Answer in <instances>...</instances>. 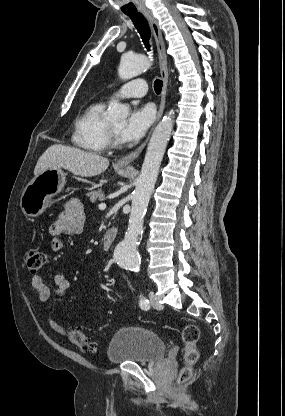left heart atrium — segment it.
Wrapping results in <instances>:
<instances>
[{
  "instance_id": "left-heart-atrium-1",
  "label": "left heart atrium",
  "mask_w": 285,
  "mask_h": 416,
  "mask_svg": "<svg viewBox=\"0 0 285 416\" xmlns=\"http://www.w3.org/2000/svg\"><path fill=\"white\" fill-rule=\"evenodd\" d=\"M153 121V111L150 106L134 107L126 122L119 130L123 142H136L146 133Z\"/></svg>"
}]
</instances>
